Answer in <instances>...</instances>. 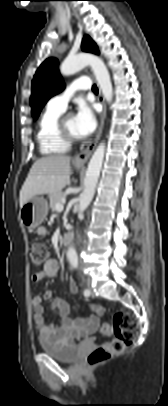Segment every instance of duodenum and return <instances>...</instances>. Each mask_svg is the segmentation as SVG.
<instances>
[{
    "label": "duodenum",
    "instance_id": "duodenum-1",
    "mask_svg": "<svg viewBox=\"0 0 168 406\" xmlns=\"http://www.w3.org/2000/svg\"><path fill=\"white\" fill-rule=\"evenodd\" d=\"M74 234L71 230H68L62 237V243L64 245H69L73 240Z\"/></svg>",
    "mask_w": 168,
    "mask_h": 406
}]
</instances>
